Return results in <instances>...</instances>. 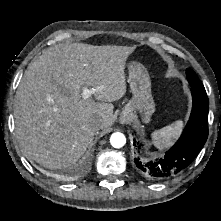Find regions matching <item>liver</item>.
<instances>
[{
  "label": "liver",
  "instance_id": "obj_1",
  "mask_svg": "<svg viewBox=\"0 0 221 221\" xmlns=\"http://www.w3.org/2000/svg\"><path fill=\"white\" fill-rule=\"evenodd\" d=\"M136 46L57 45L31 62L15 95V129L23 153L48 169L67 167L86 152L100 129L113 122L116 101L126 93L125 65ZM83 99V89H97Z\"/></svg>",
  "mask_w": 221,
  "mask_h": 221
}]
</instances>
